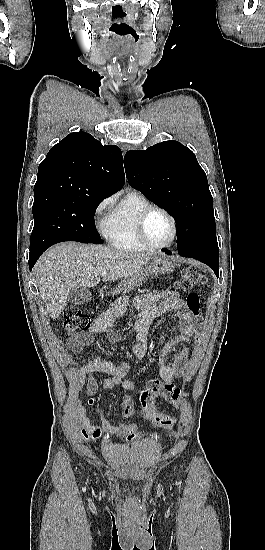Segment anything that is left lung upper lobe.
Returning a JSON list of instances; mask_svg holds the SVG:
<instances>
[{
	"instance_id": "1",
	"label": "left lung upper lobe",
	"mask_w": 265,
	"mask_h": 550,
	"mask_svg": "<svg viewBox=\"0 0 265 550\" xmlns=\"http://www.w3.org/2000/svg\"><path fill=\"white\" fill-rule=\"evenodd\" d=\"M124 167L129 184L175 219L179 254L209 250L219 256L207 176L189 148L169 140L130 150Z\"/></svg>"
}]
</instances>
